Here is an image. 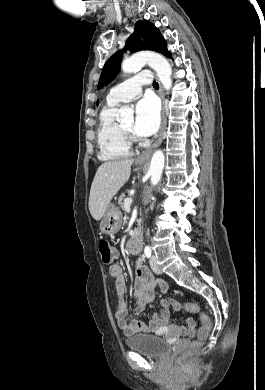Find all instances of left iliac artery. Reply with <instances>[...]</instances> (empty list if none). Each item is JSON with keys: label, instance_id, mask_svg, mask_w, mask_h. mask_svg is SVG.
Listing matches in <instances>:
<instances>
[{"label": "left iliac artery", "instance_id": "1", "mask_svg": "<svg viewBox=\"0 0 265 390\" xmlns=\"http://www.w3.org/2000/svg\"><path fill=\"white\" fill-rule=\"evenodd\" d=\"M144 254L147 258H150L151 256V249L149 246H146L145 249H144Z\"/></svg>", "mask_w": 265, "mask_h": 390}]
</instances>
